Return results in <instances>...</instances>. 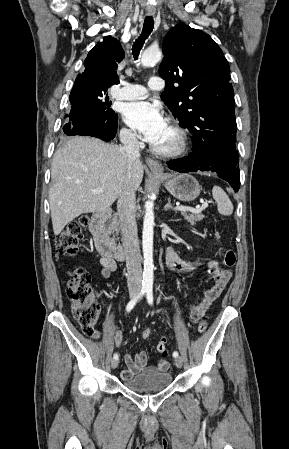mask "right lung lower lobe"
Returning a JSON list of instances; mask_svg holds the SVG:
<instances>
[{"label": "right lung lower lobe", "mask_w": 289, "mask_h": 449, "mask_svg": "<svg viewBox=\"0 0 289 449\" xmlns=\"http://www.w3.org/2000/svg\"><path fill=\"white\" fill-rule=\"evenodd\" d=\"M81 93L78 92L76 87H73L72 92L70 94V101L71 103L78 100ZM117 122H118V116L115 123L108 125V126H99L92 122H78L76 123V126H73L72 123L66 124L63 127V130L65 127L69 130L70 136L73 135H84V136H93L100 138L104 141H110L112 140L117 132Z\"/></svg>", "instance_id": "98d812e1"}]
</instances>
